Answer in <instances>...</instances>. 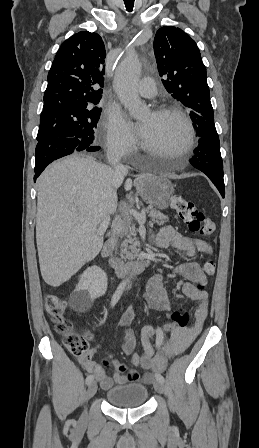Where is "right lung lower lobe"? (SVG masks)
<instances>
[{
    "label": "right lung lower lobe",
    "mask_w": 259,
    "mask_h": 448,
    "mask_svg": "<svg viewBox=\"0 0 259 448\" xmlns=\"http://www.w3.org/2000/svg\"><path fill=\"white\" fill-rule=\"evenodd\" d=\"M98 150H100V146L97 145L83 148L80 146L79 139L75 137H56L39 141L35 150L36 162L34 181H36V178L42 173L47 165L58 158L75 152H94Z\"/></svg>",
    "instance_id": "obj_1"
}]
</instances>
